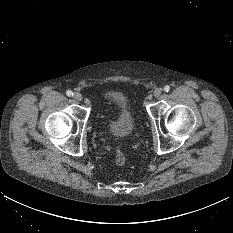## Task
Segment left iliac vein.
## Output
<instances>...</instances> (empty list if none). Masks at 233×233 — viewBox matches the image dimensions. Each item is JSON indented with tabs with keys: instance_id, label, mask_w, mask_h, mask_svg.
Listing matches in <instances>:
<instances>
[{
	"instance_id": "4c4485c4",
	"label": "left iliac vein",
	"mask_w": 233,
	"mask_h": 233,
	"mask_svg": "<svg viewBox=\"0 0 233 233\" xmlns=\"http://www.w3.org/2000/svg\"><path fill=\"white\" fill-rule=\"evenodd\" d=\"M162 94V89L161 88H156L153 92L154 97L158 98Z\"/></svg>"
}]
</instances>
